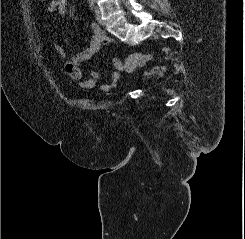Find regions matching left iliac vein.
I'll use <instances>...</instances> for the list:
<instances>
[{
  "label": "left iliac vein",
  "instance_id": "obj_1",
  "mask_svg": "<svg viewBox=\"0 0 245 239\" xmlns=\"http://www.w3.org/2000/svg\"><path fill=\"white\" fill-rule=\"evenodd\" d=\"M95 17H96V20L99 24H103V20H102V17H101V12L99 10L98 7H95Z\"/></svg>",
  "mask_w": 245,
  "mask_h": 239
}]
</instances>
